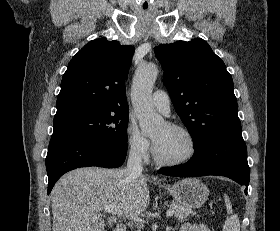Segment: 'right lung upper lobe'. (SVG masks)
I'll use <instances>...</instances> for the list:
<instances>
[{
    "label": "right lung upper lobe",
    "mask_w": 280,
    "mask_h": 231,
    "mask_svg": "<svg viewBox=\"0 0 280 231\" xmlns=\"http://www.w3.org/2000/svg\"><path fill=\"white\" fill-rule=\"evenodd\" d=\"M133 53L132 46L106 38L86 44L63 75L54 121L129 112L126 79Z\"/></svg>",
    "instance_id": "cb5924a9"
}]
</instances>
